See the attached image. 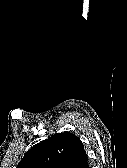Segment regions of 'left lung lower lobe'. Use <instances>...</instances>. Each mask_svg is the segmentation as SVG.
Instances as JSON below:
<instances>
[{
  "mask_svg": "<svg viewBox=\"0 0 127 168\" xmlns=\"http://www.w3.org/2000/svg\"><path fill=\"white\" fill-rule=\"evenodd\" d=\"M83 168H89V165H88L87 160H86V162H85V164H84Z\"/></svg>",
  "mask_w": 127,
  "mask_h": 168,
  "instance_id": "1",
  "label": "left lung lower lobe"
}]
</instances>
